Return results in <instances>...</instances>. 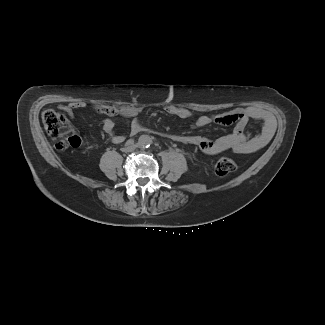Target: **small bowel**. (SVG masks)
Returning <instances> with one entry per match:
<instances>
[{"label": "small bowel", "mask_w": 325, "mask_h": 325, "mask_svg": "<svg viewBox=\"0 0 325 325\" xmlns=\"http://www.w3.org/2000/svg\"><path fill=\"white\" fill-rule=\"evenodd\" d=\"M84 107L85 103L83 102H73L62 106V109L69 115H72L75 110ZM98 111L106 116L103 119L102 125L107 139L116 144L124 142L126 136L116 130V125L111 117L122 116L134 118L140 112L138 108L129 106L120 108L114 106H100ZM163 111L168 115L181 119H194L191 124V128L193 129L206 127L212 123L219 125H234L231 134L217 139H209L200 135L172 134L170 136L175 142L193 145L200 151L209 154H219L225 151H231L235 154H249L258 151L269 143L275 130V121L272 114L264 109L253 106L236 108L214 116H196L191 110L172 104L165 105ZM250 120L261 122L262 128L259 133L252 135L247 132V125ZM142 131H144V127L140 122L133 120L130 126L129 136L134 137ZM76 137L79 140V144L75 147H78L81 144V139L78 136Z\"/></svg>", "instance_id": "c3829d8e"}]
</instances>
